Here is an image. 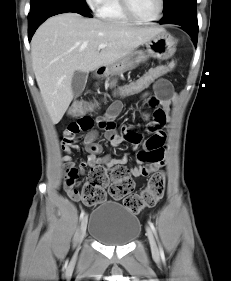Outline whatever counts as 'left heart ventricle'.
I'll use <instances>...</instances> for the list:
<instances>
[{"label": "left heart ventricle", "instance_id": "left-heart-ventricle-1", "mask_svg": "<svg viewBox=\"0 0 231 281\" xmlns=\"http://www.w3.org/2000/svg\"><path fill=\"white\" fill-rule=\"evenodd\" d=\"M134 12L143 19L154 18L159 10V0H130Z\"/></svg>", "mask_w": 231, "mask_h": 281}]
</instances>
